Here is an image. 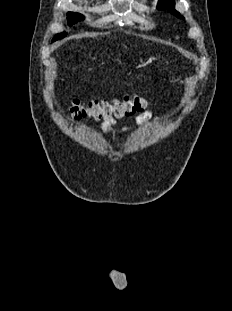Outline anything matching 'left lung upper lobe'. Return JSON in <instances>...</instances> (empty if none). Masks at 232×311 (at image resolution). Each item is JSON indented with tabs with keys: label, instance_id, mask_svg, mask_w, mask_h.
Returning a JSON list of instances; mask_svg holds the SVG:
<instances>
[{
	"label": "left lung upper lobe",
	"instance_id": "obj_1",
	"mask_svg": "<svg viewBox=\"0 0 232 311\" xmlns=\"http://www.w3.org/2000/svg\"><path fill=\"white\" fill-rule=\"evenodd\" d=\"M159 9L167 8L173 15L177 16L178 18L184 19V17L175 10V1L174 0H159L158 6Z\"/></svg>",
	"mask_w": 232,
	"mask_h": 311
}]
</instances>
